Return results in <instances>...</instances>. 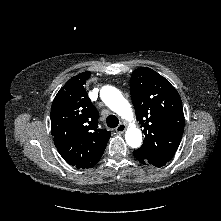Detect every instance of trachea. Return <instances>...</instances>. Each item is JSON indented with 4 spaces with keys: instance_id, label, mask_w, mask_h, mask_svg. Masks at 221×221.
I'll list each match as a JSON object with an SVG mask.
<instances>
[{
    "instance_id": "obj_1",
    "label": "trachea",
    "mask_w": 221,
    "mask_h": 221,
    "mask_svg": "<svg viewBox=\"0 0 221 221\" xmlns=\"http://www.w3.org/2000/svg\"><path fill=\"white\" fill-rule=\"evenodd\" d=\"M106 123L108 127L115 128L118 126L119 120L115 115L111 114L106 118Z\"/></svg>"
}]
</instances>
